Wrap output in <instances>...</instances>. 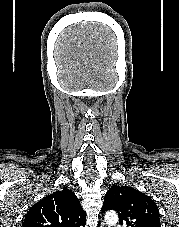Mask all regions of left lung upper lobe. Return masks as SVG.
Returning <instances> with one entry per match:
<instances>
[{"instance_id": "5c2ea615", "label": "left lung upper lobe", "mask_w": 179, "mask_h": 227, "mask_svg": "<svg viewBox=\"0 0 179 227\" xmlns=\"http://www.w3.org/2000/svg\"><path fill=\"white\" fill-rule=\"evenodd\" d=\"M115 210L119 223L130 227H161L159 211L151 197L136 189L114 184L106 193L101 211Z\"/></svg>"}]
</instances>
